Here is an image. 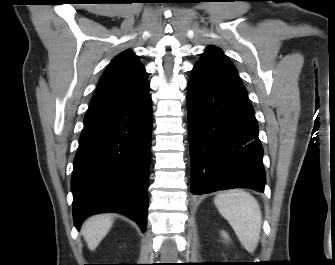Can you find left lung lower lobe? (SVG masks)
Masks as SVG:
<instances>
[{
	"label": "left lung lower lobe",
	"mask_w": 335,
	"mask_h": 265,
	"mask_svg": "<svg viewBox=\"0 0 335 265\" xmlns=\"http://www.w3.org/2000/svg\"><path fill=\"white\" fill-rule=\"evenodd\" d=\"M191 192L250 188L264 192L263 148L246 88L194 67L188 83Z\"/></svg>",
	"instance_id": "1"
}]
</instances>
